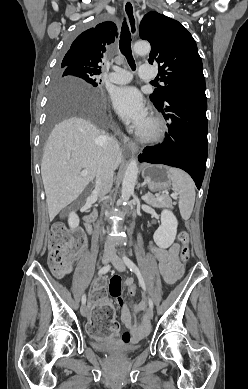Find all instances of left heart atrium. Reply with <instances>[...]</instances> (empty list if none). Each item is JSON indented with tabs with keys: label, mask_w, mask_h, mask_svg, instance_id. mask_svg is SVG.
<instances>
[{
	"label": "left heart atrium",
	"mask_w": 248,
	"mask_h": 389,
	"mask_svg": "<svg viewBox=\"0 0 248 389\" xmlns=\"http://www.w3.org/2000/svg\"><path fill=\"white\" fill-rule=\"evenodd\" d=\"M117 113L134 127L142 129L147 122V108L139 91L132 86L117 87L111 93Z\"/></svg>",
	"instance_id": "left-heart-atrium-1"
}]
</instances>
